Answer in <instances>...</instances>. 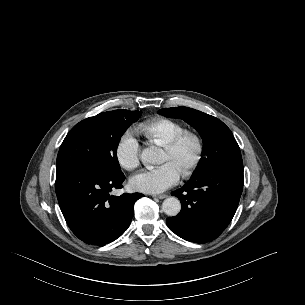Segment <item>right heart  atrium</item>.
Masks as SVG:
<instances>
[{
	"label": "right heart atrium",
	"mask_w": 305,
	"mask_h": 305,
	"mask_svg": "<svg viewBox=\"0 0 305 305\" xmlns=\"http://www.w3.org/2000/svg\"><path fill=\"white\" fill-rule=\"evenodd\" d=\"M115 157L118 164L125 170H134L140 164V145L132 130L124 132L115 146Z\"/></svg>",
	"instance_id": "1"
}]
</instances>
